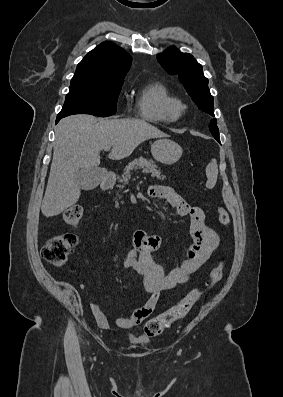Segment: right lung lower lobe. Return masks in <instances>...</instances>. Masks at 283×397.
<instances>
[{
  "label": "right lung lower lobe",
  "instance_id": "right-lung-lower-lobe-1",
  "mask_svg": "<svg viewBox=\"0 0 283 397\" xmlns=\"http://www.w3.org/2000/svg\"><path fill=\"white\" fill-rule=\"evenodd\" d=\"M61 119V117H57V119H56V123L59 121Z\"/></svg>",
  "mask_w": 283,
  "mask_h": 397
}]
</instances>
